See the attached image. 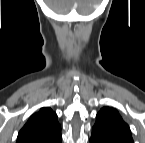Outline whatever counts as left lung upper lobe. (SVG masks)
Listing matches in <instances>:
<instances>
[{
	"label": "left lung upper lobe",
	"instance_id": "5c2ea615",
	"mask_svg": "<svg viewBox=\"0 0 145 143\" xmlns=\"http://www.w3.org/2000/svg\"><path fill=\"white\" fill-rule=\"evenodd\" d=\"M92 137L100 143H134L129 126L110 107H103L97 114Z\"/></svg>",
	"mask_w": 145,
	"mask_h": 143
}]
</instances>
